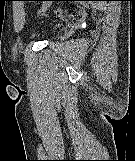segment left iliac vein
I'll return each mask as SVG.
<instances>
[{
    "mask_svg": "<svg viewBox=\"0 0 135 161\" xmlns=\"http://www.w3.org/2000/svg\"><path fill=\"white\" fill-rule=\"evenodd\" d=\"M48 6H49V4H47V3L46 4H43V6H42V8L40 10V13L41 14L44 13L47 10Z\"/></svg>",
    "mask_w": 135,
    "mask_h": 161,
    "instance_id": "4c4485c4",
    "label": "left iliac vein"
}]
</instances>
